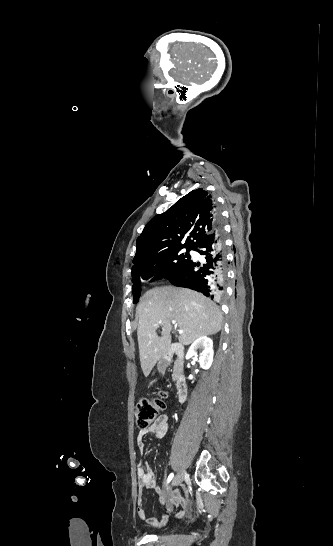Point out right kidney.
I'll return each instance as SVG.
<instances>
[{"label":"right kidney","mask_w":333,"mask_h":546,"mask_svg":"<svg viewBox=\"0 0 333 546\" xmlns=\"http://www.w3.org/2000/svg\"><path fill=\"white\" fill-rule=\"evenodd\" d=\"M203 348L204 351L201 355H198L197 350ZM213 342L208 337H201L193 342L190 346L186 359L193 358L194 360L198 359L200 367L207 370L211 367L213 362Z\"/></svg>","instance_id":"1"}]
</instances>
